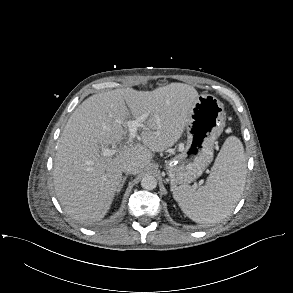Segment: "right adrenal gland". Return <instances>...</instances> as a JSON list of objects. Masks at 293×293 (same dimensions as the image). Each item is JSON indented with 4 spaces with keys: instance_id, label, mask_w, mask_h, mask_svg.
<instances>
[{
    "instance_id": "obj_1",
    "label": "right adrenal gland",
    "mask_w": 293,
    "mask_h": 293,
    "mask_svg": "<svg viewBox=\"0 0 293 293\" xmlns=\"http://www.w3.org/2000/svg\"><path fill=\"white\" fill-rule=\"evenodd\" d=\"M125 180H126V177L123 178V181H122V183H121V185H120V187H119V189H118L117 192H120L121 191V189H122V187L124 185Z\"/></svg>"
}]
</instances>
